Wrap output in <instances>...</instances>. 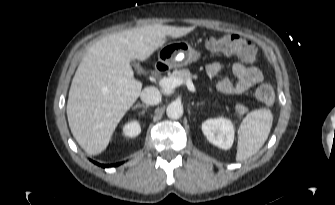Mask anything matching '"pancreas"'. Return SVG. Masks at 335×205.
I'll use <instances>...</instances> for the list:
<instances>
[{
    "mask_svg": "<svg viewBox=\"0 0 335 205\" xmlns=\"http://www.w3.org/2000/svg\"><path fill=\"white\" fill-rule=\"evenodd\" d=\"M171 77L181 78L183 80V83H186L188 79L191 80L192 78H197V76L192 75L188 69H181V70L175 69ZM235 110L239 118L242 117V115L247 112V108L244 107L243 105H236Z\"/></svg>",
    "mask_w": 335,
    "mask_h": 205,
    "instance_id": "pancreas-1",
    "label": "pancreas"
}]
</instances>
